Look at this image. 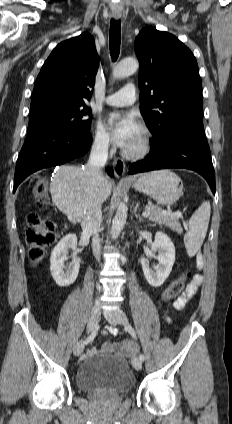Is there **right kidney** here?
Segmentation results:
<instances>
[{
  "mask_svg": "<svg viewBox=\"0 0 232 424\" xmlns=\"http://www.w3.org/2000/svg\"><path fill=\"white\" fill-rule=\"evenodd\" d=\"M69 249L73 251L77 249V237L74 234L63 237L53 249L50 257L51 275L60 287L73 284L79 273L80 260L75 252L72 254L71 263L65 265V261L68 260Z\"/></svg>",
  "mask_w": 232,
  "mask_h": 424,
  "instance_id": "right-kidney-1",
  "label": "right kidney"
}]
</instances>
